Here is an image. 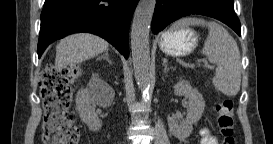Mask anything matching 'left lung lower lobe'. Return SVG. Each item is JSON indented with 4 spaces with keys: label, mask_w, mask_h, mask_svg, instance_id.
<instances>
[{
    "label": "left lung lower lobe",
    "mask_w": 273,
    "mask_h": 144,
    "mask_svg": "<svg viewBox=\"0 0 273 144\" xmlns=\"http://www.w3.org/2000/svg\"><path fill=\"white\" fill-rule=\"evenodd\" d=\"M191 14L218 19L241 35L240 21L234 12V0H156L152 32L157 34L171 22Z\"/></svg>",
    "instance_id": "obj_1"
}]
</instances>
